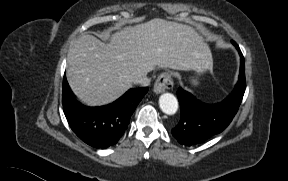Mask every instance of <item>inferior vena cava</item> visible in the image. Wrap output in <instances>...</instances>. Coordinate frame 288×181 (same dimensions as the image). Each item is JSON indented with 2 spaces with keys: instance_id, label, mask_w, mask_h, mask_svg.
Here are the masks:
<instances>
[{
  "instance_id": "obj_1",
  "label": "inferior vena cava",
  "mask_w": 288,
  "mask_h": 181,
  "mask_svg": "<svg viewBox=\"0 0 288 181\" xmlns=\"http://www.w3.org/2000/svg\"><path fill=\"white\" fill-rule=\"evenodd\" d=\"M151 79L147 77V75H142L137 77L134 80V83L139 84L140 86H148L150 84Z\"/></svg>"
}]
</instances>
